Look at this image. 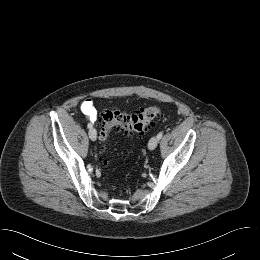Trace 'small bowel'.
Listing matches in <instances>:
<instances>
[{
    "instance_id": "c3829d8e",
    "label": "small bowel",
    "mask_w": 260,
    "mask_h": 260,
    "mask_svg": "<svg viewBox=\"0 0 260 260\" xmlns=\"http://www.w3.org/2000/svg\"><path fill=\"white\" fill-rule=\"evenodd\" d=\"M81 111L92 121L97 120V110L92 99H85L81 103Z\"/></svg>"
}]
</instances>
